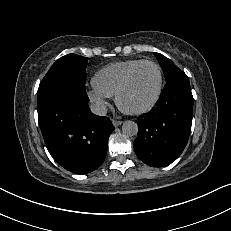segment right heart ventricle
<instances>
[{"label":"right heart ventricle","instance_id":"right-heart-ventricle-1","mask_svg":"<svg viewBox=\"0 0 231 231\" xmlns=\"http://www.w3.org/2000/svg\"><path fill=\"white\" fill-rule=\"evenodd\" d=\"M143 59H129L110 63L94 76V86L109 97L115 96L128 72Z\"/></svg>","mask_w":231,"mask_h":231}]
</instances>
